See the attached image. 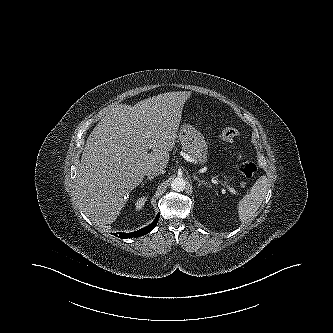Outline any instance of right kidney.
<instances>
[{"label":"right kidney","mask_w":333,"mask_h":333,"mask_svg":"<svg viewBox=\"0 0 333 333\" xmlns=\"http://www.w3.org/2000/svg\"><path fill=\"white\" fill-rule=\"evenodd\" d=\"M147 197L143 196L141 198H139L136 202V209L140 210L142 209V207L144 206L145 202H146Z\"/></svg>","instance_id":"obj_1"}]
</instances>
